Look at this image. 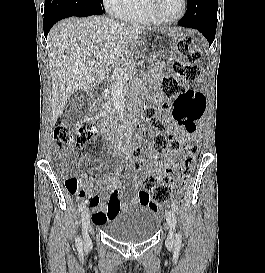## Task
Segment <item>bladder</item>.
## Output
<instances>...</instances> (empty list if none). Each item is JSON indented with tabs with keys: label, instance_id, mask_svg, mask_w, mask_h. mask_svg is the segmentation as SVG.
<instances>
[{
	"label": "bladder",
	"instance_id": "1",
	"mask_svg": "<svg viewBox=\"0 0 265 273\" xmlns=\"http://www.w3.org/2000/svg\"><path fill=\"white\" fill-rule=\"evenodd\" d=\"M161 217L152 207L138 203L117 212L103 225L107 236L124 244L149 241L158 232Z\"/></svg>",
	"mask_w": 265,
	"mask_h": 273
}]
</instances>
